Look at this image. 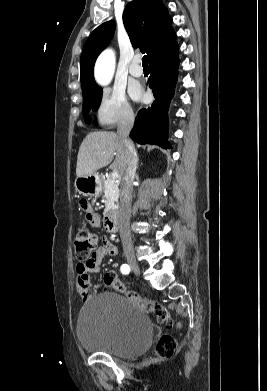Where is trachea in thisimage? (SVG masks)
I'll list each match as a JSON object with an SVG mask.
<instances>
[{
    "label": "trachea",
    "mask_w": 267,
    "mask_h": 391,
    "mask_svg": "<svg viewBox=\"0 0 267 391\" xmlns=\"http://www.w3.org/2000/svg\"><path fill=\"white\" fill-rule=\"evenodd\" d=\"M142 63H143V65H148L146 56L142 57Z\"/></svg>",
    "instance_id": "trachea-1"
}]
</instances>
